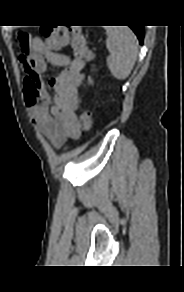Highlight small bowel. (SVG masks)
Segmentation results:
<instances>
[{
    "instance_id": "1",
    "label": "small bowel",
    "mask_w": 184,
    "mask_h": 292,
    "mask_svg": "<svg viewBox=\"0 0 184 292\" xmlns=\"http://www.w3.org/2000/svg\"><path fill=\"white\" fill-rule=\"evenodd\" d=\"M19 62L26 74L23 80L25 104L40 132L57 148L69 139H76L80 134L77 88L83 78L85 62L48 51L38 38H30L29 46L21 47ZM48 63L63 68L48 81L54 90L53 96L42 77Z\"/></svg>"
}]
</instances>
